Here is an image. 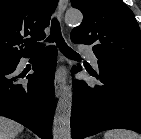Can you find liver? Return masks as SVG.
<instances>
[{"mask_svg": "<svg viewBox=\"0 0 141 139\" xmlns=\"http://www.w3.org/2000/svg\"><path fill=\"white\" fill-rule=\"evenodd\" d=\"M23 128L21 124L0 116V139H15Z\"/></svg>", "mask_w": 141, "mask_h": 139, "instance_id": "obj_1", "label": "liver"}]
</instances>
